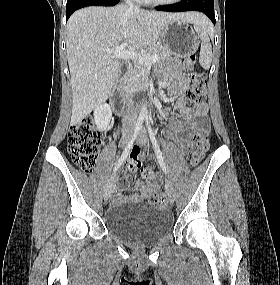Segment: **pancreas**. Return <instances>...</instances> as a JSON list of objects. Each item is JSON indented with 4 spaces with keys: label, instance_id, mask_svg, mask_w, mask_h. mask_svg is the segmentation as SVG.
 <instances>
[{
    "label": "pancreas",
    "instance_id": "cf45deb5",
    "mask_svg": "<svg viewBox=\"0 0 280 285\" xmlns=\"http://www.w3.org/2000/svg\"><path fill=\"white\" fill-rule=\"evenodd\" d=\"M146 54H156L159 56V60H165L172 55V52L161 44H155L147 50ZM147 71L148 67L146 65L138 61L134 62L132 71L124 81L125 90L134 92L143 90L147 79Z\"/></svg>",
    "mask_w": 280,
    "mask_h": 285
}]
</instances>
